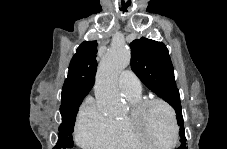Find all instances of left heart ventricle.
<instances>
[{
  "mask_svg": "<svg viewBox=\"0 0 227 149\" xmlns=\"http://www.w3.org/2000/svg\"><path fill=\"white\" fill-rule=\"evenodd\" d=\"M143 131L158 144H169L173 139V124L168 110L161 105H152L143 118Z\"/></svg>",
  "mask_w": 227,
  "mask_h": 149,
  "instance_id": "b2bd125f",
  "label": "left heart ventricle"
}]
</instances>
